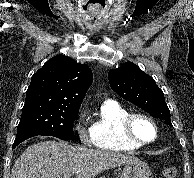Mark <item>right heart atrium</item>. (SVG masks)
<instances>
[{
    "instance_id": "right-heart-atrium-1",
    "label": "right heart atrium",
    "mask_w": 194,
    "mask_h": 178,
    "mask_svg": "<svg viewBox=\"0 0 194 178\" xmlns=\"http://www.w3.org/2000/svg\"><path fill=\"white\" fill-rule=\"evenodd\" d=\"M88 123L89 117L87 112L84 110L80 111L75 119L74 127L79 141L83 145H90L92 143V133Z\"/></svg>"
}]
</instances>
